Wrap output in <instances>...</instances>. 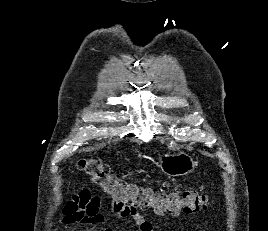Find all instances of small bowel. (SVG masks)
<instances>
[{
	"label": "small bowel",
	"mask_w": 268,
	"mask_h": 231,
	"mask_svg": "<svg viewBox=\"0 0 268 231\" xmlns=\"http://www.w3.org/2000/svg\"><path fill=\"white\" fill-rule=\"evenodd\" d=\"M101 203L102 200L99 196L88 189H84L64 205L61 223L64 225L99 227L103 231H112L106 217L99 213ZM112 207L118 215L133 218L140 231H153V224L143 217L135 207L122 209L117 204H113Z\"/></svg>",
	"instance_id": "1"
}]
</instances>
